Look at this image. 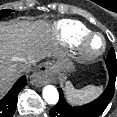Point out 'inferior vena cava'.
Segmentation results:
<instances>
[{
    "instance_id": "602c4592",
    "label": "inferior vena cava",
    "mask_w": 117,
    "mask_h": 117,
    "mask_svg": "<svg viewBox=\"0 0 117 117\" xmlns=\"http://www.w3.org/2000/svg\"><path fill=\"white\" fill-rule=\"evenodd\" d=\"M30 68H31V65L30 64H23V65L20 66V71L22 73H24V72L27 73V72L30 71Z\"/></svg>"
}]
</instances>
